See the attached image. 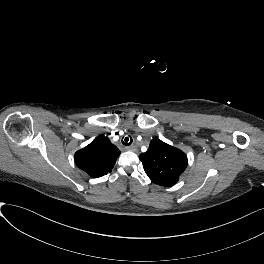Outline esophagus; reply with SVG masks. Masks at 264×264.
<instances>
[{
	"mask_svg": "<svg viewBox=\"0 0 264 264\" xmlns=\"http://www.w3.org/2000/svg\"><path fill=\"white\" fill-rule=\"evenodd\" d=\"M128 151H136L137 147L135 145H131L125 148Z\"/></svg>",
	"mask_w": 264,
	"mask_h": 264,
	"instance_id": "1",
	"label": "esophagus"
}]
</instances>
